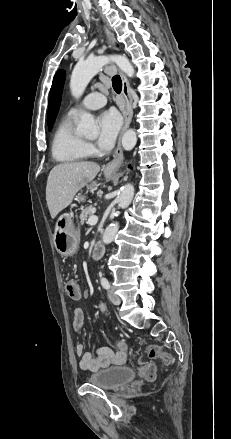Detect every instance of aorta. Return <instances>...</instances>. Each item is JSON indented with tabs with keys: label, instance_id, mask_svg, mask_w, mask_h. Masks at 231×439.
I'll return each mask as SVG.
<instances>
[{
	"label": "aorta",
	"instance_id": "762f6f07",
	"mask_svg": "<svg viewBox=\"0 0 231 439\" xmlns=\"http://www.w3.org/2000/svg\"><path fill=\"white\" fill-rule=\"evenodd\" d=\"M114 62L127 76L133 77L135 74L134 67L122 55L96 56L89 57L85 61L78 62L72 72L70 79V90L72 95L79 99L90 80L108 63ZM78 133L84 136H96L97 127L93 116L90 113L82 112L80 123L77 127ZM137 142L136 132L133 129L127 130L122 137V146L129 151L134 148ZM134 196V187L131 184H126L121 189V193L117 198L118 206L121 209L127 208ZM119 229L118 222L111 223L103 234V242L105 244L111 243Z\"/></svg>",
	"mask_w": 231,
	"mask_h": 439
}]
</instances>
